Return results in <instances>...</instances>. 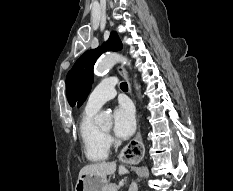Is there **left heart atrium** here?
<instances>
[{"mask_svg": "<svg viewBox=\"0 0 233 191\" xmlns=\"http://www.w3.org/2000/svg\"><path fill=\"white\" fill-rule=\"evenodd\" d=\"M114 133L118 138L125 139L135 130L136 120L134 110L128 103H121L113 113Z\"/></svg>", "mask_w": 233, "mask_h": 191, "instance_id": "left-heart-atrium-1", "label": "left heart atrium"}]
</instances>
